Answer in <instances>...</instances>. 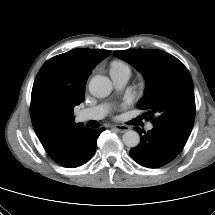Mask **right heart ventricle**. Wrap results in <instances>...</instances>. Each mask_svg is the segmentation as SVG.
I'll list each match as a JSON object with an SVG mask.
<instances>
[{"label":"right heart ventricle","instance_id":"1","mask_svg":"<svg viewBox=\"0 0 215 215\" xmlns=\"http://www.w3.org/2000/svg\"><path fill=\"white\" fill-rule=\"evenodd\" d=\"M114 72H128L130 73V67L127 63L120 61V60H115L112 61L110 64V73Z\"/></svg>","mask_w":215,"mask_h":215}]
</instances>
